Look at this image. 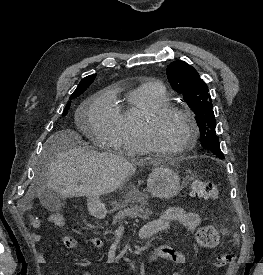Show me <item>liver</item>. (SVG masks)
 Listing matches in <instances>:
<instances>
[{
    "label": "liver",
    "mask_w": 263,
    "mask_h": 275,
    "mask_svg": "<svg viewBox=\"0 0 263 275\" xmlns=\"http://www.w3.org/2000/svg\"><path fill=\"white\" fill-rule=\"evenodd\" d=\"M79 142L80 136L73 130L59 131L49 138L46 148L53 149L54 155L47 167L46 189L64 198L97 200L120 188L135 173V163L112 153L88 151L77 146ZM32 194L30 189L25 199L30 200Z\"/></svg>",
    "instance_id": "liver-1"
}]
</instances>
